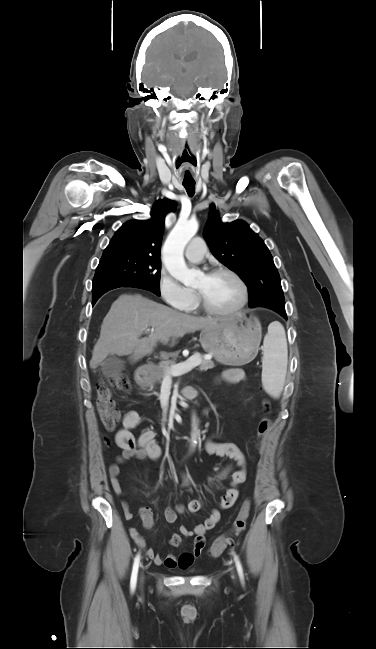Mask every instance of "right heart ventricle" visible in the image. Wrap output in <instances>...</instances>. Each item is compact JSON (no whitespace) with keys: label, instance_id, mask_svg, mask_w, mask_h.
I'll use <instances>...</instances> for the list:
<instances>
[{"label":"right heart ventricle","instance_id":"e07e8e85","mask_svg":"<svg viewBox=\"0 0 376 649\" xmlns=\"http://www.w3.org/2000/svg\"><path fill=\"white\" fill-rule=\"evenodd\" d=\"M197 309H198V303L196 301V297L194 296L192 301L184 308V310L187 312H194Z\"/></svg>","mask_w":376,"mask_h":649}]
</instances>
